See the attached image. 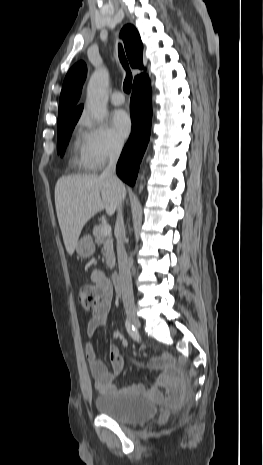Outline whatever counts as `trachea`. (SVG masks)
Instances as JSON below:
<instances>
[{"label":"trachea","mask_w":263,"mask_h":465,"mask_svg":"<svg viewBox=\"0 0 263 465\" xmlns=\"http://www.w3.org/2000/svg\"><path fill=\"white\" fill-rule=\"evenodd\" d=\"M119 58H120V61L123 65V67L125 68L127 74H126V78L124 80V83H123V90L126 92V93H130L131 91V86H132V74H131V71L129 69V65H128V62L126 60V57H125V54H124V51H123V48L121 45H119Z\"/></svg>","instance_id":"3493384b"}]
</instances>
